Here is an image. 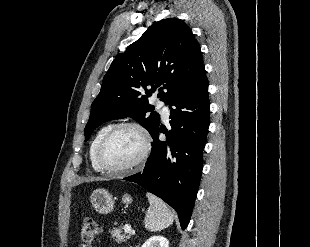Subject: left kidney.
I'll return each instance as SVG.
<instances>
[{
    "mask_svg": "<svg viewBox=\"0 0 310 247\" xmlns=\"http://www.w3.org/2000/svg\"><path fill=\"white\" fill-rule=\"evenodd\" d=\"M142 247H169V241L163 236H152Z\"/></svg>",
    "mask_w": 310,
    "mask_h": 247,
    "instance_id": "obj_1",
    "label": "left kidney"
}]
</instances>
